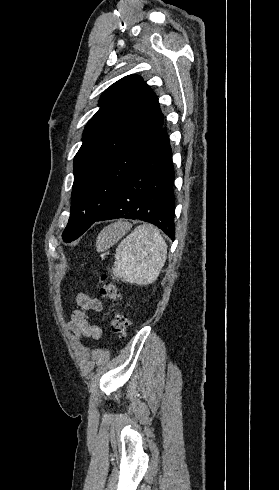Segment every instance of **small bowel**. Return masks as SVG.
<instances>
[{
  "instance_id": "obj_1",
  "label": "small bowel",
  "mask_w": 279,
  "mask_h": 490,
  "mask_svg": "<svg viewBox=\"0 0 279 490\" xmlns=\"http://www.w3.org/2000/svg\"><path fill=\"white\" fill-rule=\"evenodd\" d=\"M76 303L79 309L72 311L68 323L70 330L78 338H91L98 340L101 338V328L91 321V317L102 308L100 301L84 293L76 295Z\"/></svg>"
}]
</instances>
